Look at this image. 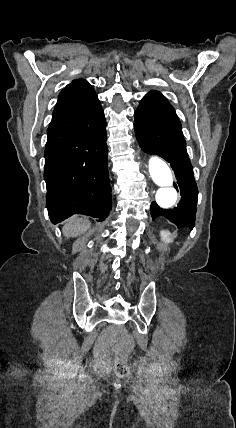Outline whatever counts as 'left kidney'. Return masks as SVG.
<instances>
[{
  "instance_id": "5707ae66",
  "label": "left kidney",
  "mask_w": 236,
  "mask_h": 428,
  "mask_svg": "<svg viewBox=\"0 0 236 428\" xmlns=\"http://www.w3.org/2000/svg\"><path fill=\"white\" fill-rule=\"evenodd\" d=\"M160 236L164 242H172L170 232H160Z\"/></svg>"
}]
</instances>
